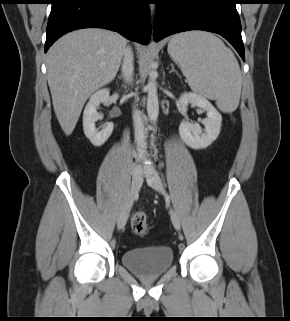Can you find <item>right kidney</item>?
<instances>
[{"instance_id":"ca27d5eb","label":"right kidney","mask_w":290,"mask_h":321,"mask_svg":"<svg viewBox=\"0 0 290 321\" xmlns=\"http://www.w3.org/2000/svg\"><path fill=\"white\" fill-rule=\"evenodd\" d=\"M110 91L104 88L95 92L89 99L83 112V130L85 136L94 146H102L113 132V123H107L102 130L98 131L95 127L96 121L100 118L97 112V107L100 103H105L109 100Z\"/></svg>"}]
</instances>
